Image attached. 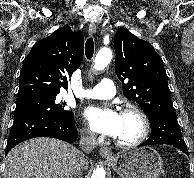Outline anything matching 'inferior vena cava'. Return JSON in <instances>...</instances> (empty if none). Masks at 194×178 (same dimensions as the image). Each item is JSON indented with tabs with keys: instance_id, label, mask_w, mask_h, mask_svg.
<instances>
[{
	"instance_id": "1",
	"label": "inferior vena cava",
	"mask_w": 194,
	"mask_h": 178,
	"mask_svg": "<svg viewBox=\"0 0 194 178\" xmlns=\"http://www.w3.org/2000/svg\"><path fill=\"white\" fill-rule=\"evenodd\" d=\"M79 145L83 152H86V153L91 152L97 146V139L95 134L87 130L81 131V138H80ZM84 163H85V157H84V154L82 153V162L79 165V168L75 173V176H78L79 178H81L80 175H81V170L84 166Z\"/></svg>"
}]
</instances>
